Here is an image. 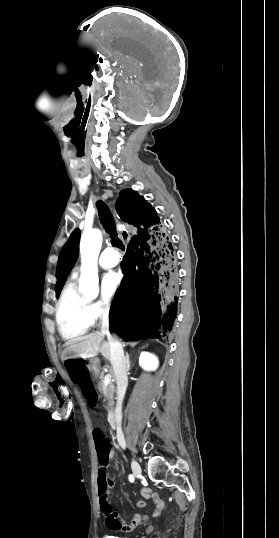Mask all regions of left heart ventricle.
I'll return each instance as SVG.
<instances>
[{"instance_id":"left-heart-ventricle-1","label":"left heart ventricle","mask_w":279,"mask_h":538,"mask_svg":"<svg viewBox=\"0 0 279 538\" xmlns=\"http://www.w3.org/2000/svg\"><path fill=\"white\" fill-rule=\"evenodd\" d=\"M69 210H78L81 209V207H68Z\"/></svg>"}]
</instances>
